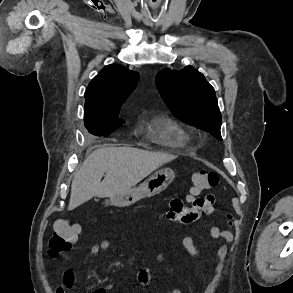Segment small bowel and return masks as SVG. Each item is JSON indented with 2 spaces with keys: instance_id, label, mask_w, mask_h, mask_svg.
I'll return each mask as SVG.
<instances>
[{
  "instance_id": "c3829d8e",
  "label": "small bowel",
  "mask_w": 293,
  "mask_h": 293,
  "mask_svg": "<svg viewBox=\"0 0 293 293\" xmlns=\"http://www.w3.org/2000/svg\"><path fill=\"white\" fill-rule=\"evenodd\" d=\"M200 203L194 204L193 199L189 197L191 205L185 207L182 200L174 198L170 202L169 210L159 214V218L168 222H175L181 224H189L199 220L202 214H211L214 211L215 197L212 194H207L203 197H199ZM210 234L215 239H222L230 243L234 240V235L230 231L221 230L218 227L212 225L210 227ZM182 245L187 253L192 257H199L201 251L195 246L191 236H184L182 239ZM111 247V241L107 238L102 239L100 242L94 244L90 252L93 256L99 255L102 251H106ZM227 256V247L221 246L217 250V263L213 269L211 280L209 281L204 293H215L221 280V274L223 270L224 261ZM138 280L146 285L150 281V275L148 271L141 270L138 274ZM75 283L74 273L70 269H65L63 272V281L61 285L56 286L55 293H66V289L73 288ZM114 285L108 283L104 287L94 290L92 293H107L112 290ZM168 293H182L179 288H173Z\"/></svg>"
}]
</instances>
